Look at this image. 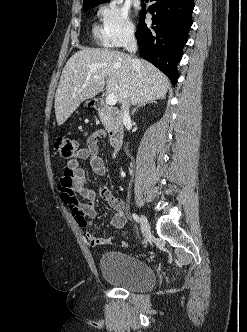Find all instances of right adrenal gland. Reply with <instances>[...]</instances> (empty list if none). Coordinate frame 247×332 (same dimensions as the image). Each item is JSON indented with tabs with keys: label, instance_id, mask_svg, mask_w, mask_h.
Returning a JSON list of instances; mask_svg holds the SVG:
<instances>
[{
	"label": "right adrenal gland",
	"instance_id": "2a0ac1e0",
	"mask_svg": "<svg viewBox=\"0 0 247 332\" xmlns=\"http://www.w3.org/2000/svg\"><path fill=\"white\" fill-rule=\"evenodd\" d=\"M148 103H156V101L143 102V103L137 105V107H135V108L133 109V111H132V115H134L135 112H136L139 108L144 107V106H145L146 104H148Z\"/></svg>",
	"mask_w": 247,
	"mask_h": 332
}]
</instances>
